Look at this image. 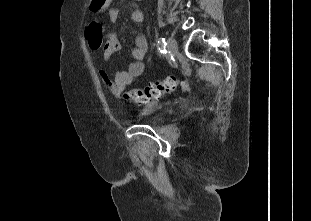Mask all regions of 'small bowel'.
<instances>
[{"label":"small bowel","instance_id":"c3829d8e","mask_svg":"<svg viewBox=\"0 0 311 221\" xmlns=\"http://www.w3.org/2000/svg\"><path fill=\"white\" fill-rule=\"evenodd\" d=\"M108 13L111 21H117L120 15V9L118 7H111ZM131 19L134 23H142L144 21V14L141 10L136 9L132 12ZM118 49V35L116 32L111 31L107 34V39L103 48L104 60L109 62ZM147 54L148 44L146 38L143 35H137L135 38V46L132 49L134 60L129 63L126 70L117 71L113 78H111L105 70L100 71L101 80L115 97L120 98L125 88L132 83L134 78L140 76L144 72V59Z\"/></svg>","mask_w":311,"mask_h":221}]
</instances>
